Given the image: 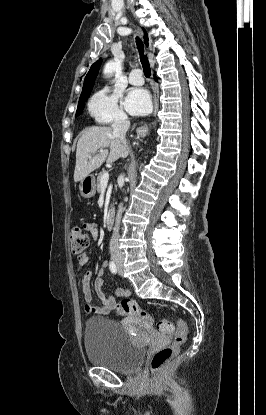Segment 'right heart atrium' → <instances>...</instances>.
<instances>
[{
  "label": "right heart atrium",
  "instance_id": "right-heart-atrium-1",
  "mask_svg": "<svg viewBox=\"0 0 266 415\" xmlns=\"http://www.w3.org/2000/svg\"><path fill=\"white\" fill-rule=\"evenodd\" d=\"M91 117L100 124H109L127 119V115L119 103V95L109 88L97 91L88 102Z\"/></svg>",
  "mask_w": 266,
  "mask_h": 415
}]
</instances>
